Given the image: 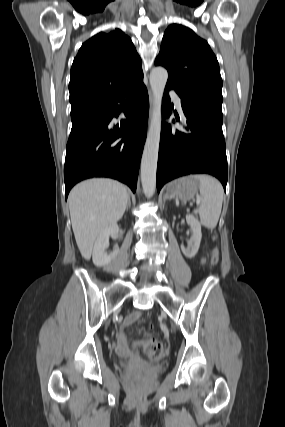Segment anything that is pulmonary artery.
Segmentation results:
<instances>
[{"mask_svg":"<svg viewBox=\"0 0 285 427\" xmlns=\"http://www.w3.org/2000/svg\"><path fill=\"white\" fill-rule=\"evenodd\" d=\"M170 96H171L177 110L181 112L182 111V104H181V99H180L179 95L174 91H170Z\"/></svg>","mask_w":285,"mask_h":427,"instance_id":"obj_1","label":"pulmonary artery"}]
</instances>
